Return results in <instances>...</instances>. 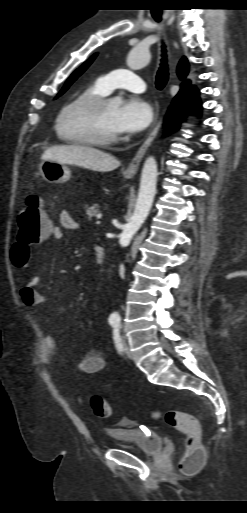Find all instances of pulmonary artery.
<instances>
[{
    "mask_svg": "<svg viewBox=\"0 0 247 513\" xmlns=\"http://www.w3.org/2000/svg\"><path fill=\"white\" fill-rule=\"evenodd\" d=\"M100 88L109 93L116 88L127 89L136 93L144 92L145 82L129 69H117L98 78Z\"/></svg>",
    "mask_w": 247,
    "mask_h": 513,
    "instance_id": "e3ab8cb5",
    "label": "pulmonary artery"
}]
</instances>
